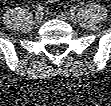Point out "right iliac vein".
I'll return each mask as SVG.
<instances>
[{"instance_id":"1","label":"right iliac vein","mask_w":111,"mask_h":106,"mask_svg":"<svg viewBox=\"0 0 111 106\" xmlns=\"http://www.w3.org/2000/svg\"><path fill=\"white\" fill-rule=\"evenodd\" d=\"M42 20H43V13L37 12L34 16V21L36 23H40V22H42Z\"/></svg>"}]
</instances>
